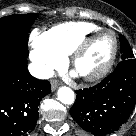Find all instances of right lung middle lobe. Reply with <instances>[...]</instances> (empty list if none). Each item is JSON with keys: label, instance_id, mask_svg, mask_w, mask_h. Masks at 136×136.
<instances>
[{"label": "right lung middle lobe", "instance_id": "right-lung-middle-lobe-1", "mask_svg": "<svg viewBox=\"0 0 136 136\" xmlns=\"http://www.w3.org/2000/svg\"><path fill=\"white\" fill-rule=\"evenodd\" d=\"M38 14H13L0 19V55L28 56V32Z\"/></svg>", "mask_w": 136, "mask_h": 136}]
</instances>
